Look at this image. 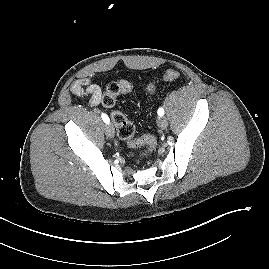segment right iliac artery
<instances>
[{
    "label": "right iliac artery",
    "mask_w": 269,
    "mask_h": 269,
    "mask_svg": "<svg viewBox=\"0 0 269 269\" xmlns=\"http://www.w3.org/2000/svg\"><path fill=\"white\" fill-rule=\"evenodd\" d=\"M101 117H102L103 121H104L106 124H109V122H110L109 117H108L105 113H102V114H101Z\"/></svg>",
    "instance_id": "right-iliac-artery-1"
}]
</instances>
